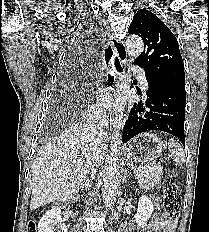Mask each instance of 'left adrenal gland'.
Returning <instances> with one entry per match:
<instances>
[{
	"label": "left adrenal gland",
	"instance_id": "left-adrenal-gland-1",
	"mask_svg": "<svg viewBox=\"0 0 209 232\" xmlns=\"http://www.w3.org/2000/svg\"><path fill=\"white\" fill-rule=\"evenodd\" d=\"M127 174H128L127 171H125L124 176H123V181L125 180Z\"/></svg>",
	"mask_w": 209,
	"mask_h": 232
}]
</instances>
